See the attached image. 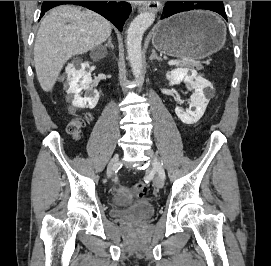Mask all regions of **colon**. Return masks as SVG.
<instances>
[{
	"label": "colon",
	"mask_w": 271,
	"mask_h": 266,
	"mask_svg": "<svg viewBox=\"0 0 271 266\" xmlns=\"http://www.w3.org/2000/svg\"><path fill=\"white\" fill-rule=\"evenodd\" d=\"M89 121V116L77 117L72 120L67 125L68 132L78 138L81 133V129L85 126V124ZM134 193L139 197H147L148 196V187L142 183L137 182L133 185Z\"/></svg>",
	"instance_id": "colon-1"
}]
</instances>
